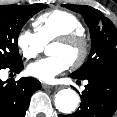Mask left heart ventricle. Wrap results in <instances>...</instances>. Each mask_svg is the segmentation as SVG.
Returning <instances> with one entry per match:
<instances>
[{"instance_id": "left-heart-ventricle-1", "label": "left heart ventricle", "mask_w": 117, "mask_h": 117, "mask_svg": "<svg viewBox=\"0 0 117 117\" xmlns=\"http://www.w3.org/2000/svg\"><path fill=\"white\" fill-rule=\"evenodd\" d=\"M48 54L51 56H62L71 63L77 57L78 49L65 47L57 43H52L48 47Z\"/></svg>"}]
</instances>
